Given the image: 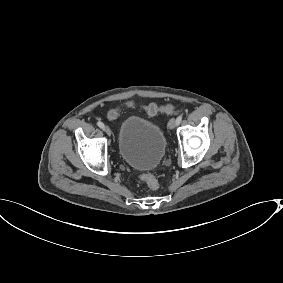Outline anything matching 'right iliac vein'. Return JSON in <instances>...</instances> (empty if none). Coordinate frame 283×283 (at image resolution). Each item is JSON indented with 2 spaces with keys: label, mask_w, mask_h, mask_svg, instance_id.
<instances>
[{
  "label": "right iliac vein",
  "mask_w": 283,
  "mask_h": 283,
  "mask_svg": "<svg viewBox=\"0 0 283 283\" xmlns=\"http://www.w3.org/2000/svg\"><path fill=\"white\" fill-rule=\"evenodd\" d=\"M103 130H104V132H105L108 136L111 135V130H110L109 127L105 126Z\"/></svg>",
  "instance_id": "1"
}]
</instances>
